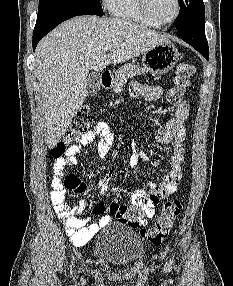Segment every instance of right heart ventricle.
<instances>
[{
  "mask_svg": "<svg viewBox=\"0 0 233 286\" xmlns=\"http://www.w3.org/2000/svg\"><path fill=\"white\" fill-rule=\"evenodd\" d=\"M105 3L114 17L154 26L143 14L138 0H106Z\"/></svg>",
  "mask_w": 233,
  "mask_h": 286,
  "instance_id": "e07e8e85",
  "label": "right heart ventricle"
}]
</instances>
